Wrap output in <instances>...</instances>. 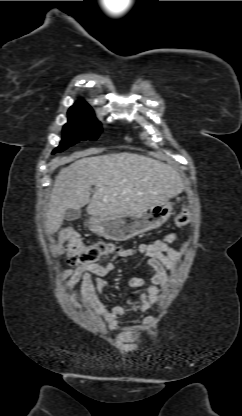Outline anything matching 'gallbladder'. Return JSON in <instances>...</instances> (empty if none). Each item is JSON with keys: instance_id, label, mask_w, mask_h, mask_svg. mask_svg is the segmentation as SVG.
<instances>
[{"instance_id": "obj_1", "label": "gallbladder", "mask_w": 242, "mask_h": 416, "mask_svg": "<svg viewBox=\"0 0 242 416\" xmlns=\"http://www.w3.org/2000/svg\"><path fill=\"white\" fill-rule=\"evenodd\" d=\"M81 216V210L80 209H68L65 213V220L67 221H74L79 219Z\"/></svg>"}]
</instances>
